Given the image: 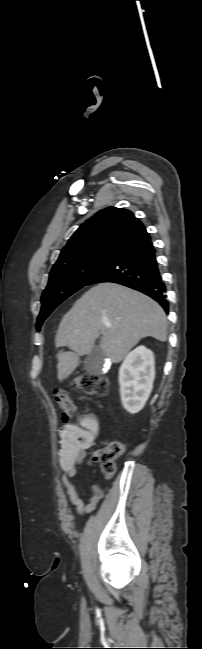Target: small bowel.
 <instances>
[{"label": "small bowel", "mask_w": 202, "mask_h": 649, "mask_svg": "<svg viewBox=\"0 0 202 649\" xmlns=\"http://www.w3.org/2000/svg\"><path fill=\"white\" fill-rule=\"evenodd\" d=\"M59 465L62 470L61 482L64 485L69 502L75 507L78 516L86 517L95 510L104 497L103 489L93 484L90 486L89 503L85 504L79 496L73 480L78 474V467L86 457L100 433V422L94 414H84L78 423H67L60 429Z\"/></svg>", "instance_id": "c3829d8e"}]
</instances>
